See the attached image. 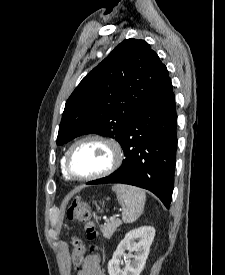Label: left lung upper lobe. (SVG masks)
Instances as JSON below:
<instances>
[{
    "label": "left lung upper lobe",
    "mask_w": 225,
    "mask_h": 275,
    "mask_svg": "<svg viewBox=\"0 0 225 275\" xmlns=\"http://www.w3.org/2000/svg\"><path fill=\"white\" fill-rule=\"evenodd\" d=\"M168 78L166 66L147 42L124 40L67 100L57 144L89 133L121 143L130 123Z\"/></svg>",
    "instance_id": "1"
}]
</instances>
